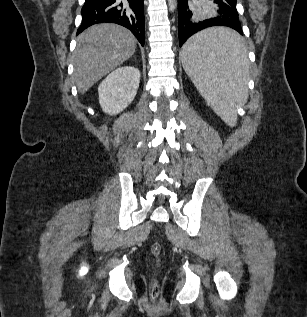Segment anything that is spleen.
<instances>
[{
	"label": "spleen",
	"instance_id": "spleen-1",
	"mask_svg": "<svg viewBox=\"0 0 307 317\" xmlns=\"http://www.w3.org/2000/svg\"><path fill=\"white\" fill-rule=\"evenodd\" d=\"M248 43L228 26H209L183 46V68L208 105L229 126L248 98Z\"/></svg>",
	"mask_w": 307,
	"mask_h": 317
}]
</instances>
